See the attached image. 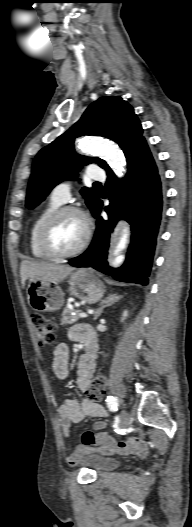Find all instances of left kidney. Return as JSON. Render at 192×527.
<instances>
[{
  "mask_svg": "<svg viewBox=\"0 0 192 527\" xmlns=\"http://www.w3.org/2000/svg\"><path fill=\"white\" fill-rule=\"evenodd\" d=\"M128 316V312L127 311H124L123 314H122V319L121 321H124L126 319V317Z\"/></svg>",
  "mask_w": 192,
  "mask_h": 527,
  "instance_id": "1",
  "label": "left kidney"
}]
</instances>
